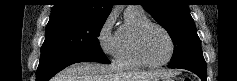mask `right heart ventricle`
I'll use <instances>...</instances> for the list:
<instances>
[{
    "instance_id": "1",
    "label": "right heart ventricle",
    "mask_w": 237,
    "mask_h": 81,
    "mask_svg": "<svg viewBox=\"0 0 237 81\" xmlns=\"http://www.w3.org/2000/svg\"><path fill=\"white\" fill-rule=\"evenodd\" d=\"M149 21L143 10H126L125 24L116 33L117 48L115 59L119 66L127 68H140L143 66L134 51V35L140 26Z\"/></svg>"
}]
</instances>
